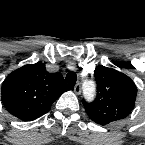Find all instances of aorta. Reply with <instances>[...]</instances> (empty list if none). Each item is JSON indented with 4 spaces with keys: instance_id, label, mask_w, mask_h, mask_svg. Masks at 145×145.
<instances>
[{
    "instance_id": "762f6f07",
    "label": "aorta",
    "mask_w": 145,
    "mask_h": 145,
    "mask_svg": "<svg viewBox=\"0 0 145 145\" xmlns=\"http://www.w3.org/2000/svg\"><path fill=\"white\" fill-rule=\"evenodd\" d=\"M95 83L91 80L83 82V94L87 100H92L95 96Z\"/></svg>"
}]
</instances>
